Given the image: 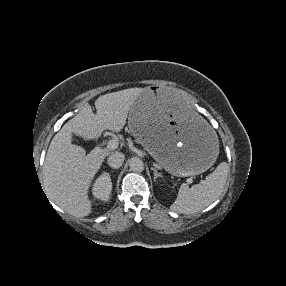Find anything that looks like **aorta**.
Masks as SVG:
<instances>
[{"mask_svg": "<svg viewBox=\"0 0 286 286\" xmlns=\"http://www.w3.org/2000/svg\"><path fill=\"white\" fill-rule=\"evenodd\" d=\"M128 163L130 170L133 172H142L144 170V162L138 157L130 158Z\"/></svg>", "mask_w": 286, "mask_h": 286, "instance_id": "762f6f07", "label": "aorta"}]
</instances>
